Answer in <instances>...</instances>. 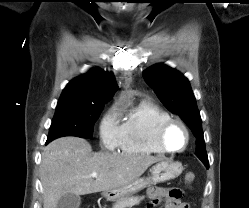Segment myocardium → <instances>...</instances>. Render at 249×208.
Masks as SVG:
<instances>
[{
	"label": "myocardium",
	"mask_w": 249,
	"mask_h": 208,
	"mask_svg": "<svg viewBox=\"0 0 249 208\" xmlns=\"http://www.w3.org/2000/svg\"><path fill=\"white\" fill-rule=\"evenodd\" d=\"M174 125L180 126L184 130L185 135H186V142H185L184 146L180 149H172V148L168 147L166 142H165V135H166L167 131ZM155 141H156V144L158 145V147L163 152L181 153V152L185 151L189 145L190 131H189L187 125L183 121L176 119V118H170L159 125V127L156 131Z\"/></svg>",
	"instance_id": "obj_1"
}]
</instances>
